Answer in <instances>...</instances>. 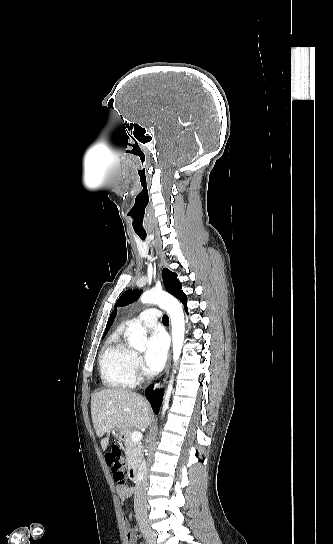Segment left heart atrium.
<instances>
[{
  "label": "left heart atrium",
  "mask_w": 333,
  "mask_h": 544,
  "mask_svg": "<svg viewBox=\"0 0 333 544\" xmlns=\"http://www.w3.org/2000/svg\"><path fill=\"white\" fill-rule=\"evenodd\" d=\"M168 338L161 332H154L148 339L145 352V362L152 371H159L166 361Z\"/></svg>",
  "instance_id": "1"
}]
</instances>
